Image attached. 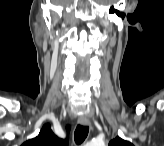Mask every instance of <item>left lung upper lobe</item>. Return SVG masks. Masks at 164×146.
<instances>
[{
    "label": "left lung upper lobe",
    "mask_w": 164,
    "mask_h": 146,
    "mask_svg": "<svg viewBox=\"0 0 164 146\" xmlns=\"http://www.w3.org/2000/svg\"><path fill=\"white\" fill-rule=\"evenodd\" d=\"M109 146H132V144L117 136L115 139L110 141Z\"/></svg>",
    "instance_id": "5c2ea615"
}]
</instances>
